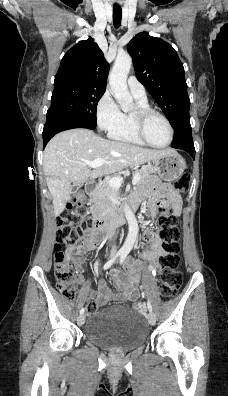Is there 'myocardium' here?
Masks as SVG:
<instances>
[{
    "instance_id": "myocardium-1",
    "label": "myocardium",
    "mask_w": 228,
    "mask_h": 396,
    "mask_svg": "<svg viewBox=\"0 0 228 396\" xmlns=\"http://www.w3.org/2000/svg\"><path fill=\"white\" fill-rule=\"evenodd\" d=\"M152 115H157L160 118H162L168 127L169 140L165 145H161V146L155 145L151 143L146 136V132H145L146 121ZM131 116L135 128V132L144 144L156 149H165L171 145L174 138V129L170 120L162 112L151 107H144L137 105L135 109L132 111Z\"/></svg>"
}]
</instances>
